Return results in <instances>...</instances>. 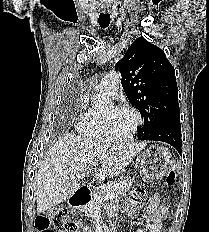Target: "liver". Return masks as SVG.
I'll use <instances>...</instances> for the list:
<instances>
[{"mask_svg": "<svg viewBox=\"0 0 209 232\" xmlns=\"http://www.w3.org/2000/svg\"><path fill=\"white\" fill-rule=\"evenodd\" d=\"M145 147L144 143H112L64 135L51 145L39 165L36 185L37 213L69 199L79 181L89 175L92 162H99L96 178L103 181L119 175Z\"/></svg>", "mask_w": 209, "mask_h": 232, "instance_id": "liver-1", "label": "liver"}]
</instances>
